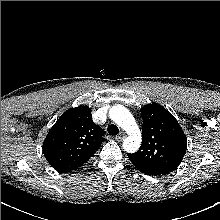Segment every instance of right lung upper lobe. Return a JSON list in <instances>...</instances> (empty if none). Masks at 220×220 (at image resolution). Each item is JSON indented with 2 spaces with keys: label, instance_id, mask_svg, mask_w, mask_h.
<instances>
[{
  "label": "right lung upper lobe",
  "instance_id": "cb5924a9",
  "mask_svg": "<svg viewBox=\"0 0 220 220\" xmlns=\"http://www.w3.org/2000/svg\"><path fill=\"white\" fill-rule=\"evenodd\" d=\"M104 130L92 121L87 106L63 113L43 142V153L49 164L59 172L78 169L106 139Z\"/></svg>",
  "mask_w": 220,
  "mask_h": 220
}]
</instances>
